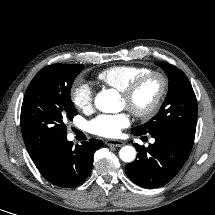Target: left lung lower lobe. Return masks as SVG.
<instances>
[{
  "instance_id": "left-lung-lower-lobe-1",
  "label": "left lung lower lobe",
  "mask_w": 215,
  "mask_h": 215,
  "mask_svg": "<svg viewBox=\"0 0 215 215\" xmlns=\"http://www.w3.org/2000/svg\"><path fill=\"white\" fill-rule=\"evenodd\" d=\"M150 135L155 139L154 144L145 148L134 143L137 158L125 166L129 179L143 188L160 187L175 177L188 159L194 142L173 131L163 130Z\"/></svg>"
}]
</instances>
